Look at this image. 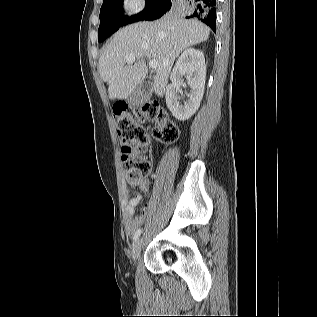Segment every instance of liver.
<instances>
[{"instance_id": "obj_1", "label": "liver", "mask_w": 317, "mask_h": 317, "mask_svg": "<svg viewBox=\"0 0 317 317\" xmlns=\"http://www.w3.org/2000/svg\"><path fill=\"white\" fill-rule=\"evenodd\" d=\"M209 34V27L200 21L172 14L122 28L99 59V73L108 84L109 98L126 99L142 84L148 72L145 58L158 61L153 89L162 97L175 59L188 47L206 41ZM129 54L135 56L134 64L126 62Z\"/></svg>"}]
</instances>
